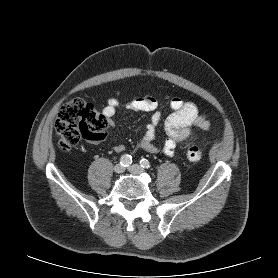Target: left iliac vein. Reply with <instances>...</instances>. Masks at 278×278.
<instances>
[{"mask_svg": "<svg viewBox=\"0 0 278 278\" xmlns=\"http://www.w3.org/2000/svg\"><path fill=\"white\" fill-rule=\"evenodd\" d=\"M128 170H129L130 173L135 174V175L141 174V173H143V171H144V170H143L139 165H137V164L131 165V166L128 168Z\"/></svg>", "mask_w": 278, "mask_h": 278, "instance_id": "1", "label": "left iliac vein"}]
</instances>
